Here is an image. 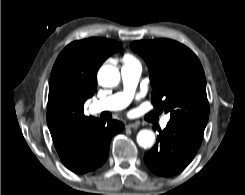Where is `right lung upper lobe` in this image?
<instances>
[{
  "instance_id": "obj_1",
  "label": "right lung upper lobe",
  "mask_w": 245,
  "mask_h": 195,
  "mask_svg": "<svg viewBox=\"0 0 245 195\" xmlns=\"http://www.w3.org/2000/svg\"><path fill=\"white\" fill-rule=\"evenodd\" d=\"M122 44L104 38L74 41L59 54L50 76L47 124L61 160L70 159L99 119L84 115L97 88V71Z\"/></svg>"
}]
</instances>
